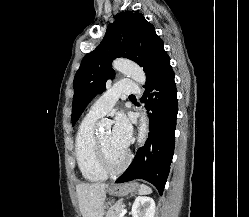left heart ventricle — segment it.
<instances>
[{"instance_id": "obj_1", "label": "left heart ventricle", "mask_w": 249, "mask_h": 217, "mask_svg": "<svg viewBox=\"0 0 249 217\" xmlns=\"http://www.w3.org/2000/svg\"><path fill=\"white\" fill-rule=\"evenodd\" d=\"M105 150L113 163H119L123 159L125 150L115 147L111 140V132L105 131L99 135Z\"/></svg>"}]
</instances>
